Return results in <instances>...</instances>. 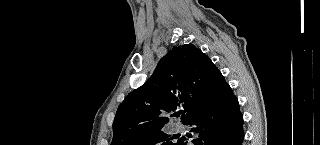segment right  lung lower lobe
<instances>
[{
    "label": "right lung lower lobe",
    "instance_id": "right-lung-lower-lobe-1",
    "mask_svg": "<svg viewBox=\"0 0 320 145\" xmlns=\"http://www.w3.org/2000/svg\"><path fill=\"white\" fill-rule=\"evenodd\" d=\"M212 98L206 109L192 117L186 124L199 138L192 145H241L244 139L243 117L239 103L223 76L216 81ZM178 145H191L186 137Z\"/></svg>",
    "mask_w": 320,
    "mask_h": 145
}]
</instances>
